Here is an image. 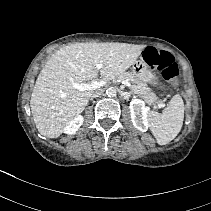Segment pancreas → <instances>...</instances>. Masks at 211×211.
<instances>
[{"label":"pancreas","mask_w":211,"mask_h":211,"mask_svg":"<svg viewBox=\"0 0 211 211\" xmlns=\"http://www.w3.org/2000/svg\"><path fill=\"white\" fill-rule=\"evenodd\" d=\"M117 79L129 81L131 83V92L143 98L147 103H161L147 84L137 79L132 72H124L118 75Z\"/></svg>","instance_id":"pancreas-1"}]
</instances>
